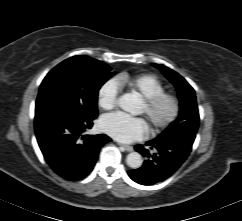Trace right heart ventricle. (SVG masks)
Masks as SVG:
<instances>
[{"label": "right heart ventricle", "instance_id": "1", "mask_svg": "<svg viewBox=\"0 0 242 221\" xmlns=\"http://www.w3.org/2000/svg\"><path fill=\"white\" fill-rule=\"evenodd\" d=\"M120 88H126L130 92L147 98L164 91L163 83L153 74H127L120 73L115 78Z\"/></svg>", "mask_w": 242, "mask_h": 221}]
</instances>
